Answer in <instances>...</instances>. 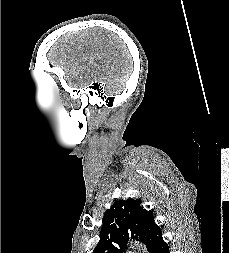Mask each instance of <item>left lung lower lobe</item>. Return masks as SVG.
I'll use <instances>...</instances> for the list:
<instances>
[{
  "mask_svg": "<svg viewBox=\"0 0 229 253\" xmlns=\"http://www.w3.org/2000/svg\"><path fill=\"white\" fill-rule=\"evenodd\" d=\"M152 253H170L167 243L162 239L155 246Z\"/></svg>",
  "mask_w": 229,
  "mask_h": 253,
  "instance_id": "obj_1",
  "label": "left lung lower lobe"
}]
</instances>
